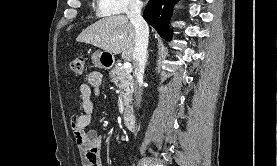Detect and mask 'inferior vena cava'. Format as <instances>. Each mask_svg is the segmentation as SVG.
<instances>
[{
  "label": "inferior vena cava",
  "instance_id": "obj_1",
  "mask_svg": "<svg viewBox=\"0 0 277 166\" xmlns=\"http://www.w3.org/2000/svg\"><path fill=\"white\" fill-rule=\"evenodd\" d=\"M142 3L140 0H131L127 16L133 24L136 32L135 48L133 53L135 81H134V95L136 106L139 107L143 94V75L147 61V47L149 28L146 21L141 15Z\"/></svg>",
  "mask_w": 277,
  "mask_h": 166
}]
</instances>
